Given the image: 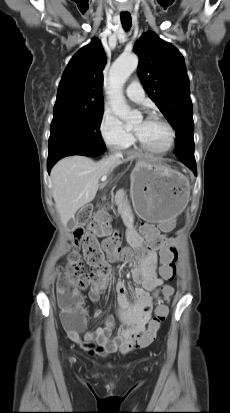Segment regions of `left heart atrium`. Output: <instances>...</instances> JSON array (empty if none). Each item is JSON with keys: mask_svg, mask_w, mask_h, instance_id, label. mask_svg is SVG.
Here are the masks:
<instances>
[{"mask_svg": "<svg viewBox=\"0 0 230 413\" xmlns=\"http://www.w3.org/2000/svg\"><path fill=\"white\" fill-rule=\"evenodd\" d=\"M146 123H147V121H144V122H143V125H145Z\"/></svg>", "mask_w": 230, "mask_h": 413, "instance_id": "left-heart-atrium-1", "label": "left heart atrium"}]
</instances>
